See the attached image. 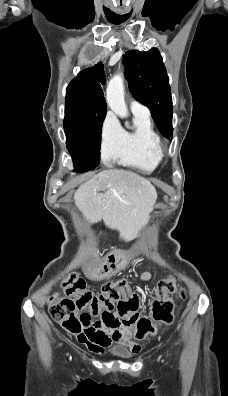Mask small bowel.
I'll return each mask as SVG.
<instances>
[{
    "mask_svg": "<svg viewBox=\"0 0 228 396\" xmlns=\"http://www.w3.org/2000/svg\"><path fill=\"white\" fill-rule=\"evenodd\" d=\"M127 262V258L121 255H110L103 265L100 272L103 275H109L123 267ZM151 274L145 272L142 274V280L150 279ZM133 331L128 328L111 329L107 327H93L87 325L83 331L77 334V339L81 344H85L89 350L95 353H102L105 347L112 342L123 344L129 347L133 352H139L141 347L132 341Z\"/></svg>",
    "mask_w": 228,
    "mask_h": 396,
    "instance_id": "1",
    "label": "small bowel"
}]
</instances>
